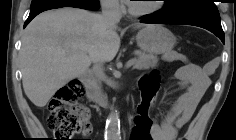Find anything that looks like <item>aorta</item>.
<instances>
[{"label":"aorta","instance_id":"aorta-1","mask_svg":"<svg viewBox=\"0 0 236 140\" xmlns=\"http://www.w3.org/2000/svg\"><path fill=\"white\" fill-rule=\"evenodd\" d=\"M120 136V119L119 113L112 110L106 121L105 137L109 140H118Z\"/></svg>","mask_w":236,"mask_h":140}]
</instances>
